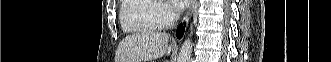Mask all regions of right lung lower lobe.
I'll return each instance as SVG.
<instances>
[{"label": "right lung lower lobe", "mask_w": 331, "mask_h": 62, "mask_svg": "<svg viewBox=\"0 0 331 62\" xmlns=\"http://www.w3.org/2000/svg\"><path fill=\"white\" fill-rule=\"evenodd\" d=\"M183 33H184V27L183 25L181 24L178 28H177V38H181L183 36Z\"/></svg>", "instance_id": "98d812e1"}]
</instances>
